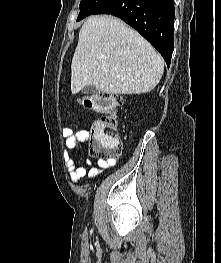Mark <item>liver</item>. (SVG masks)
I'll use <instances>...</instances> for the list:
<instances>
[{
	"instance_id": "obj_1",
	"label": "liver",
	"mask_w": 221,
	"mask_h": 263,
	"mask_svg": "<svg viewBox=\"0 0 221 263\" xmlns=\"http://www.w3.org/2000/svg\"><path fill=\"white\" fill-rule=\"evenodd\" d=\"M163 72L164 60L138 32L115 17L92 16L79 31L71 92L92 85L107 94L147 93Z\"/></svg>"
}]
</instances>
